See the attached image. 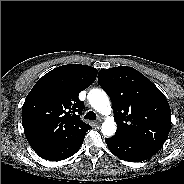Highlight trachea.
<instances>
[{
	"label": "trachea",
	"mask_w": 184,
	"mask_h": 184,
	"mask_svg": "<svg viewBox=\"0 0 184 184\" xmlns=\"http://www.w3.org/2000/svg\"><path fill=\"white\" fill-rule=\"evenodd\" d=\"M85 119L96 120V114L93 111H89L84 116Z\"/></svg>",
	"instance_id": "trachea-1"
}]
</instances>
